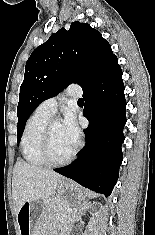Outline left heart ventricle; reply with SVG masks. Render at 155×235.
I'll return each instance as SVG.
<instances>
[{"label": "left heart ventricle", "mask_w": 155, "mask_h": 235, "mask_svg": "<svg viewBox=\"0 0 155 235\" xmlns=\"http://www.w3.org/2000/svg\"><path fill=\"white\" fill-rule=\"evenodd\" d=\"M74 146L68 140L62 124L58 121L52 126L51 131V154L57 159L66 158L73 150Z\"/></svg>", "instance_id": "b2bd125f"}]
</instances>
